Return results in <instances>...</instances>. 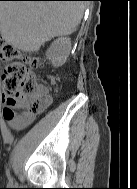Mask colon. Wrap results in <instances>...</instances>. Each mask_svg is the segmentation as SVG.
Segmentation results:
<instances>
[{"instance_id": "colon-1", "label": "colon", "mask_w": 137, "mask_h": 189, "mask_svg": "<svg viewBox=\"0 0 137 189\" xmlns=\"http://www.w3.org/2000/svg\"><path fill=\"white\" fill-rule=\"evenodd\" d=\"M0 58L10 60L2 78L3 93L8 97H25L27 105L38 110L41 107L40 99L35 94V82L27 65L16 58L14 47L1 39Z\"/></svg>"}]
</instances>
